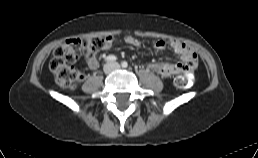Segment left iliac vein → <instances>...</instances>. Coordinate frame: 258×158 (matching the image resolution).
<instances>
[{
  "instance_id": "4c4485c4",
  "label": "left iliac vein",
  "mask_w": 258,
  "mask_h": 158,
  "mask_svg": "<svg viewBox=\"0 0 258 158\" xmlns=\"http://www.w3.org/2000/svg\"><path fill=\"white\" fill-rule=\"evenodd\" d=\"M112 65H113L114 69H119L120 68V65L118 63H114Z\"/></svg>"
}]
</instances>
